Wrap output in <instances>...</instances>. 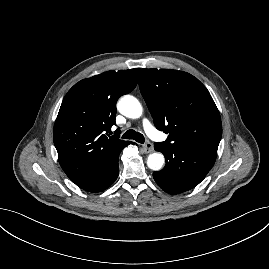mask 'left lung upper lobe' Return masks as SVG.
<instances>
[{
    "label": "left lung upper lobe",
    "mask_w": 269,
    "mask_h": 269,
    "mask_svg": "<svg viewBox=\"0 0 269 269\" xmlns=\"http://www.w3.org/2000/svg\"><path fill=\"white\" fill-rule=\"evenodd\" d=\"M139 87L156 128L169 134L157 144L217 151L222 136L220 114L197 78L182 71L143 68Z\"/></svg>",
    "instance_id": "1"
}]
</instances>
